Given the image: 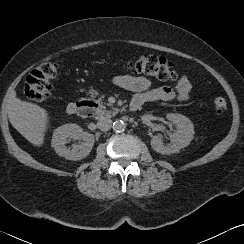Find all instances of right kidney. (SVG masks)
<instances>
[{
	"instance_id": "1",
	"label": "right kidney",
	"mask_w": 244,
	"mask_h": 244,
	"mask_svg": "<svg viewBox=\"0 0 244 244\" xmlns=\"http://www.w3.org/2000/svg\"><path fill=\"white\" fill-rule=\"evenodd\" d=\"M70 139H82L84 142L70 149L66 146ZM94 142L93 134L84 132L77 124L68 123L54 130L51 146L59 156L67 160H81L90 154Z\"/></svg>"
}]
</instances>
